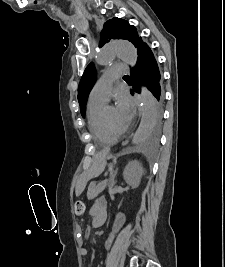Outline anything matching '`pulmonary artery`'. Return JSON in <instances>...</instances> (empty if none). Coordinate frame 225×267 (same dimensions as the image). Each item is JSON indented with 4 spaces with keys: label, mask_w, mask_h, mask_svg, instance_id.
<instances>
[{
    "label": "pulmonary artery",
    "mask_w": 225,
    "mask_h": 267,
    "mask_svg": "<svg viewBox=\"0 0 225 267\" xmlns=\"http://www.w3.org/2000/svg\"><path fill=\"white\" fill-rule=\"evenodd\" d=\"M127 73L125 64H114L99 77L89 99L106 102L109 99L113 82Z\"/></svg>",
    "instance_id": "obj_1"
}]
</instances>
